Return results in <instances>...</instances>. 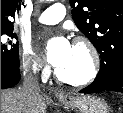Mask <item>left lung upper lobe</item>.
Masks as SVG:
<instances>
[{
    "instance_id": "5c2ea615",
    "label": "left lung upper lobe",
    "mask_w": 123,
    "mask_h": 113,
    "mask_svg": "<svg viewBox=\"0 0 123 113\" xmlns=\"http://www.w3.org/2000/svg\"><path fill=\"white\" fill-rule=\"evenodd\" d=\"M72 18L101 57L98 76L110 80L123 65V0H70Z\"/></svg>"
}]
</instances>
